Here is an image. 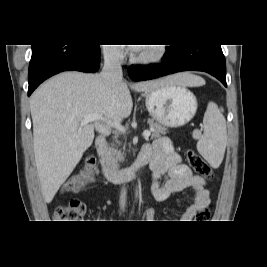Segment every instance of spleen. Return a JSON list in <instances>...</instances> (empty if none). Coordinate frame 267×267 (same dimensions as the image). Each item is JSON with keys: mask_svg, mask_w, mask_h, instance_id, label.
<instances>
[{"mask_svg": "<svg viewBox=\"0 0 267 267\" xmlns=\"http://www.w3.org/2000/svg\"><path fill=\"white\" fill-rule=\"evenodd\" d=\"M204 134L197 143L199 153L209 162V164L217 168L220 166L226 148V121L216 106L207 109L204 119Z\"/></svg>", "mask_w": 267, "mask_h": 267, "instance_id": "3e777b00", "label": "spleen"}]
</instances>
